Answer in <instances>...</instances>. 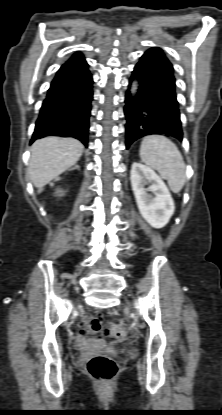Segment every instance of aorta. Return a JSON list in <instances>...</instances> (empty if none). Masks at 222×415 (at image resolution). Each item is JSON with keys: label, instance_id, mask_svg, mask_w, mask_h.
<instances>
[{"label": "aorta", "instance_id": "1", "mask_svg": "<svg viewBox=\"0 0 222 415\" xmlns=\"http://www.w3.org/2000/svg\"><path fill=\"white\" fill-rule=\"evenodd\" d=\"M136 82H133V85H132V89H131V92L132 93H135V91H136Z\"/></svg>", "mask_w": 222, "mask_h": 415}]
</instances>
